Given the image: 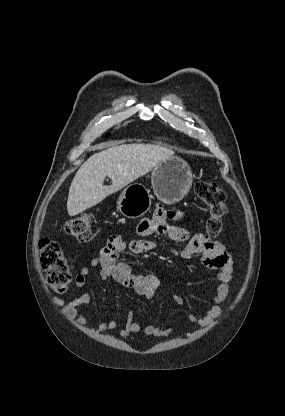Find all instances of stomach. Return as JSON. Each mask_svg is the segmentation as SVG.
<instances>
[{
	"instance_id": "0dacf381",
	"label": "stomach",
	"mask_w": 285,
	"mask_h": 416,
	"mask_svg": "<svg viewBox=\"0 0 285 416\" xmlns=\"http://www.w3.org/2000/svg\"><path fill=\"white\" fill-rule=\"evenodd\" d=\"M193 182L191 168L178 156H170L159 162L151 174V184L155 196L163 204H176L190 192ZM151 206L149 190L142 184H130L117 202V210L125 218H141Z\"/></svg>"
}]
</instances>
